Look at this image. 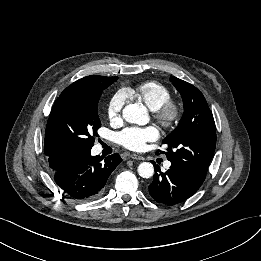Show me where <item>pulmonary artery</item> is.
<instances>
[{
    "mask_svg": "<svg viewBox=\"0 0 261 261\" xmlns=\"http://www.w3.org/2000/svg\"><path fill=\"white\" fill-rule=\"evenodd\" d=\"M170 165H171L170 162H167V163L165 164V166H166L167 168L170 167Z\"/></svg>",
    "mask_w": 261,
    "mask_h": 261,
    "instance_id": "obj_1",
    "label": "pulmonary artery"
}]
</instances>
